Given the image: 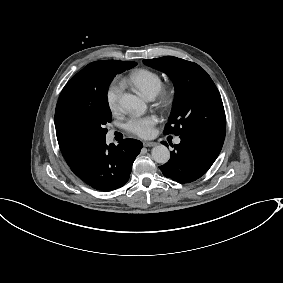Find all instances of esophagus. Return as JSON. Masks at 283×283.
Wrapping results in <instances>:
<instances>
[{
	"label": "esophagus",
	"instance_id": "34e87169",
	"mask_svg": "<svg viewBox=\"0 0 283 283\" xmlns=\"http://www.w3.org/2000/svg\"><path fill=\"white\" fill-rule=\"evenodd\" d=\"M143 145L145 147H154V146L158 145V143L157 142H144Z\"/></svg>",
	"mask_w": 283,
	"mask_h": 283
}]
</instances>
